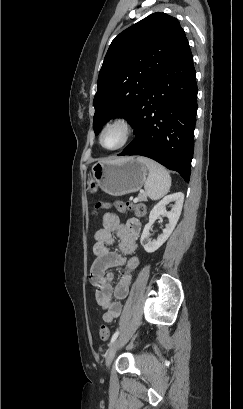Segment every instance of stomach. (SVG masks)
I'll return each mask as SVG.
<instances>
[{
	"label": "stomach",
	"mask_w": 243,
	"mask_h": 409,
	"mask_svg": "<svg viewBox=\"0 0 243 409\" xmlns=\"http://www.w3.org/2000/svg\"><path fill=\"white\" fill-rule=\"evenodd\" d=\"M147 167L132 157L95 163L88 177L87 189L95 194L100 188L112 196L137 192L146 182Z\"/></svg>",
	"instance_id": "stomach-1"
}]
</instances>
